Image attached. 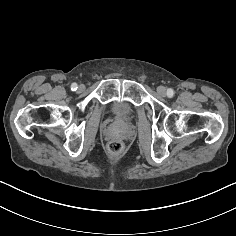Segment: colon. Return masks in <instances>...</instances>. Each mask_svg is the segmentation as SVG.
Masks as SVG:
<instances>
[{"instance_id":"5ec220e1","label":"colon","mask_w":236,"mask_h":236,"mask_svg":"<svg viewBox=\"0 0 236 236\" xmlns=\"http://www.w3.org/2000/svg\"><path fill=\"white\" fill-rule=\"evenodd\" d=\"M108 148L112 153H119L122 150L123 145L119 140H112L109 142Z\"/></svg>"}]
</instances>
